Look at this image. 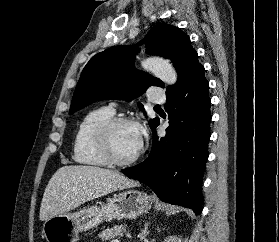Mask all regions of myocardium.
Segmentation results:
<instances>
[{
  "label": "myocardium",
  "mask_w": 279,
  "mask_h": 242,
  "mask_svg": "<svg viewBox=\"0 0 279 242\" xmlns=\"http://www.w3.org/2000/svg\"><path fill=\"white\" fill-rule=\"evenodd\" d=\"M121 125H133L141 130L139 122L133 118L124 116L111 117L97 125L94 131V141L99 152L108 164L115 166H129L135 163L139 158L142 150V141H140V146L133 156L128 159H119L112 148V134L114 130Z\"/></svg>",
  "instance_id": "obj_1"
}]
</instances>
